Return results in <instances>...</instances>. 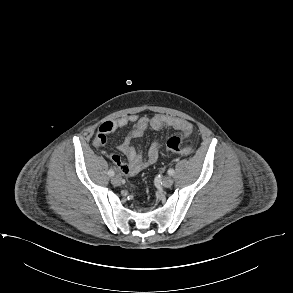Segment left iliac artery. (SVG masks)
Returning a JSON list of instances; mask_svg holds the SVG:
<instances>
[{
  "label": "left iliac artery",
  "instance_id": "44dca946",
  "mask_svg": "<svg viewBox=\"0 0 293 293\" xmlns=\"http://www.w3.org/2000/svg\"><path fill=\"white\" fill-rule=\"evenodd\" d=\"M174 173H175V172H174V170H173V169H169V170H168V174H169L170 176H173V175H174Z\"/></svg>",
  "mask_w": 293,
  "mask_h": 293
}]
</instances>
